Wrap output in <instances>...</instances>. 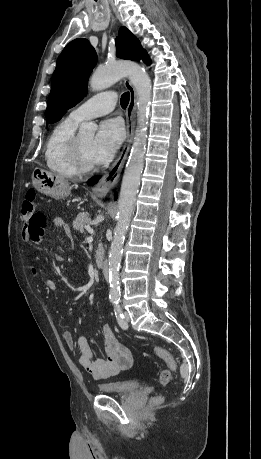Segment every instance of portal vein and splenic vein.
Segmentation results:
<instances>
[{"label": "portal vein and splenic vein", "mask_w": 261, "mask_h": 459, "mask_svg": "<svg viewBox=\"0 0 261 459\" xmlns=\"http://www.w3.org/2000/svg\"><path fill=\"white\" fill-rule=\"evenodd\" d=\"M85 228L88 230V232L91 234L90 239H92V236L94 234V230L90 228L89 226H85Z\"/></svg>", "instance_id": "obj_1"}]
</instances>
